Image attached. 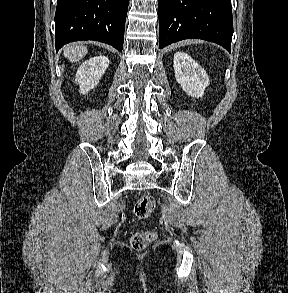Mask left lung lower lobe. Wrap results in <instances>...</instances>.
Wrapping results in <instances>:
<instances>
[{
    "mask_svg": "<svg viewBox=\"0 0 288 293\" xmlns=\"http://www.w3.org/2000/svg\"><path fill=\"white\" fill-rule=\"evenodd\" d=\"M233 35L231 0H159V47L203 39L228 52Z\"/></svg>",
    "mask_w": 288,
    "mask_h": 293,
    "instance_id": "left-lung-lower-lobe-1",
    "label": "left lung lower lobe"
}]
</instances>
